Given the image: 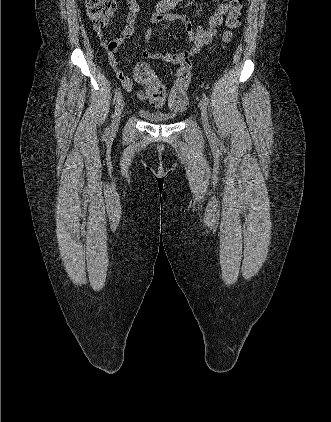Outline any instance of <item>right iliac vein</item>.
<instances>
[{
  "instance_id": "63e3f726",
  "label": "right iliac vein",
  "mask_w": 331,
  "mask_h": 422,
  "mask_svg": "<svg viewBox=\"0 0 331 422\" xmlns=\"http://www.w3.org/2000/svg\"><path fill=\"white\" fill-rule=\"evenodd\" d=\"M124 104H125L124 99L121 96L115 106V112H114L112 123H111L112 130H116L119 127L120 118H121V114L124 108Z\"/></svg>"
}]
</instances>
